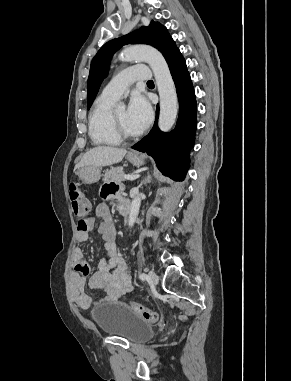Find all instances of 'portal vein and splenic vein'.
<instances>
[{
    "label": "portal vein and splenic vein",
    "instance_id": "portal-vein-and-splenic-vein-1",
    "mask_svg": "<svg viewBox=\"0 0 291 381\" xmlns=\"http://www.w3.org/2000/svg\"><path fill=\"white\" fill-rule=\"evenodd\" d=\"M139 177H140L139 174L123 175V178L126 180H134V179H137Z\"/></svg>",
    "mask_w": 291,
    "mask_h": 381
}]
</instances>
